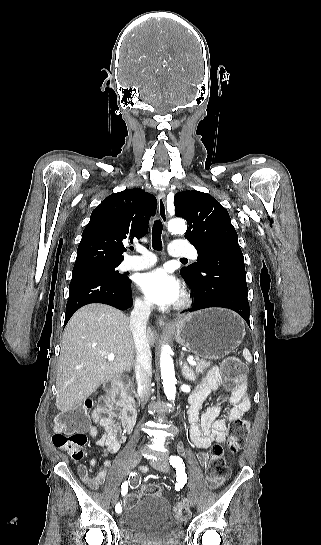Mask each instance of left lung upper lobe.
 I'll list each match as a JSON object with an SVG mask.
<instances>
[{
	"label": "left lung upper lobe",
	"mask_w": 321,
	"mask_h": 545,
	"mask_svg": "<svg viewBox=\"0 0 321 545\" xmlns=\"http://www.w3.org/2000/svg\"><path fill=\"white\" fill-rule=\"evenodd\" d=\"M175 215L187 220L189 228L185 234L198 252V263L182 268L183 277L194 276L199 263L211 250L223 247H239L236 230L231 224L227 210L211 195L187 190L175 195Z\"/></svg>",
	"instance_id": "obj_1"
}]
</instances>
